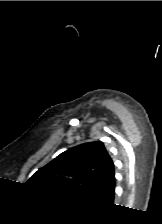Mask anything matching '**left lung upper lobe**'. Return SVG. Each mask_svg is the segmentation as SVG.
<instances>
[{
  "label": "left lung upper lobe",
  "instance_id": "1",
  "mask_svg": "<svg viewBox=\"0 0 162 224\" xmlns=\"http://www.w3.org/2000/svg\"><path fill=\"white\" fill-rule=\"evenodd\" d=\"M114 173V164L100 141L61 153L27 182L48 193L86 199Z\"/></svg>",
  "mask_w": 162,
  "mask_h": 224
}]
</instances>
